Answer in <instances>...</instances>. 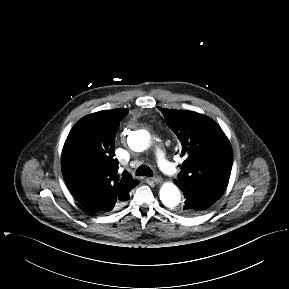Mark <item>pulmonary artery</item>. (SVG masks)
<instances>
[{"instance_id": "pulmonary-artery-1", "label": "pulmonary artery", "mask_w": 289, "mask_h": 289, "mask_svg": "<svg viewBox=\"0 0 289 289\" xmlns=\"http://www.w3.org/2000/svg\"><path fill=\"white\" fill-rule=\"evenodd\" d=\"M157 161L160 169L167 175H174L176 173L175 167L166 159L162 150L158 149L156 152Z\"/></svg>"}]
</instances>
